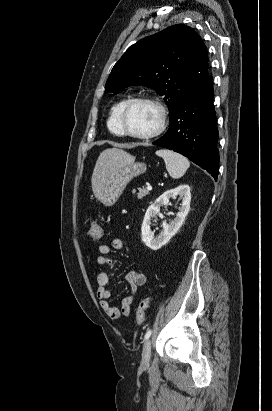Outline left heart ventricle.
<instances>
[{"label": "left heart ventricle", "mask_w": 272, "mask_h": 411, "mask_svg": "<svg viewBox=\"0 0 272 411\" xmlns=\"http://www.w3.org/2000/svg\"><path fill=\"white\" fill-rule=\"evenodd\" d=\"M159 120L157 110L145 103L132 105L125 116L127 130L135 134H146L153 131Z\"/></svg>", "instance_id": "left-heart-ventricle-1"}]
</instances>
